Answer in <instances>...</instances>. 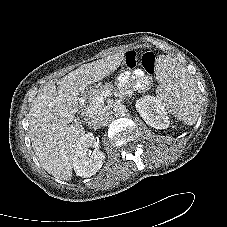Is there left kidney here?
I'll list each match as a JSON object with an SVG mask.
<instances>
[{"label": "left kidney", "instance_id": "left-kidney-1", "mask_svg": "<svg viewBox=\"0 0 227 227\" xmlns=\"http://www.w3.org/2000/svg\"><path fill=\"white\" fill-rule=\"evenodd\" d=\"M136 110L143 120L156 129H166L169 117L162 102L154 96H144L136 101Z\"/></svg>", "mask_w": 227, "mask_h": 227}]
</instances>
